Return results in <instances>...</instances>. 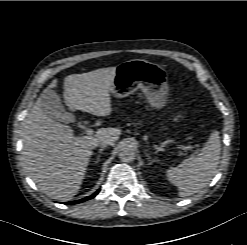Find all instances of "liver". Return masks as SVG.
<instances>
[{"mask_svg": "<svg viewBox=\"0 0 247 245\" xmlns=\"http://www.w3.org/2000/svg\"><path fill=\"white\" fill-rule=\"evenodd\" d=\"M115 72L116 67H109L67 76L63 97L68 108L109 116ZM57 83L54 79L47 89L55 88ZM120 134L119 128H100L94 136H76L71 127L48 117L38 98L23 120L22 161L40 191L50 198L68 201L80 189L92 150L104 139L113 145Z\"/></svg>", "mask_w": 247, "mask_h": 245, "instance_id": "6515ba94", "label": "liver"}]
</instances>
